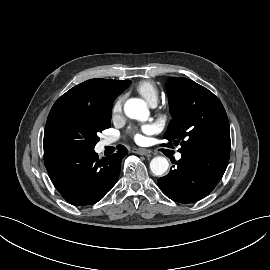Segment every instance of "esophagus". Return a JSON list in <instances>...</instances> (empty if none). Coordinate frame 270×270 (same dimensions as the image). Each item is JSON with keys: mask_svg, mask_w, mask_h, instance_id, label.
Returning <instances> with one entry per match:
<instances>
[{"mask_svg": "<svg viewBox=\"0 0 270 270\" xmlns=\"http://www.w3.org/2000/svg\"><path fill=\"white\" fill-rule=\"evenodd\" d=\"M133 152L136 154H139V155H144V156H150V154H151L150 150L143 149V148L134 149Z\"/></svg>", "mask_w": 270, "mask_h": 270, "instance_id": "1", "label": "esophagus"}]
</instances>
